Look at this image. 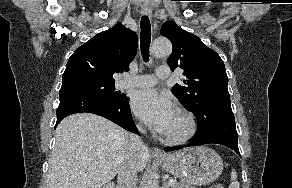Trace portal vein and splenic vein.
<instances>
[{
  "instance_id": "portal-vein-and-splenic-vein-1",
  "label": "portal vein and splenic vein",
  "mask_w": 292,
  "mask_h": 188,
  "mask_svg": "<svg viewBox=\"0 0 292 188\" xmlns=\"http://www.w3.org/2000/svg\"><path fill=\"white\" fill-rule=\"evenodd\" d=\"M176 184V180H174V179H169V181H168V185L169 186H173V185H175Z\"/></svg>"
}]
</instances>
